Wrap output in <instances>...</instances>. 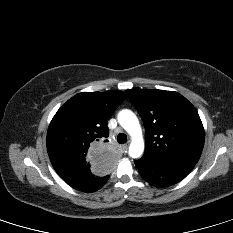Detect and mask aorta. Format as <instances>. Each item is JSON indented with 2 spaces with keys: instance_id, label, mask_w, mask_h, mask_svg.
Here are the masks:
<instances>
[{
  "instance_id": "762f6f07",
  "label": "aorta",
  "mask_w": 233,
  "mask_h": 233,
  "mask_svg": "<svg viewBox=\"0 0 233 233\" xmlns=\"http://www.w3.org/2000/svg\"><path fill=\"white\" fill-rule=\"evenodd\" d=\"M117 119L119 124L131 136V144L129 146L130 157H140L144 151V140L137 116L131 110L124 109L118 113Z\"/></svg>"
}]
</instances>
